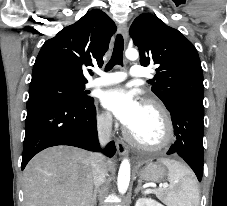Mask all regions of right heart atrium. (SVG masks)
Instances as JSON below:
<instances>
[{"mask_svg": "<svg viewBox=\"0 0 227 206\" xmlns=\"http://www.w3.org/2000/svg\"><path fill=\"white\" fill-rule=\"evenodd\" d=\"M112 118L107 112H100L97 115V125L100 129L107 130L110 128Z\"/></svg>", "mask_w": 227, "mask_h": 206, "instance_id": "obj_1", "label": "right heart atrium"}]
</instances>
